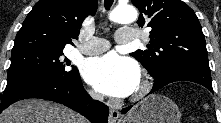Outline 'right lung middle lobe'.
<instances>
[{"instance_id":"obj_1","label":"right lung middle lobe","mask_w":221,"mask_h":123,"mask_svg":"<svg viewBox=\"0 0 221 123\" xmlns=\"http://www.w3.org/2000/svg\"><path fill=\"white\" fill-rule=\"evenodd\" d=\"M63 50L33 48L11 52V65L8 81L38 75L47 80L67 79L78 74L77 68L67 66L71 63L63 59Z\"/></svg>"}]
</instances>
